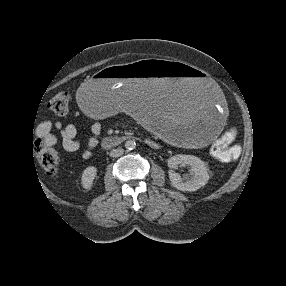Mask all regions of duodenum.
<instances>
[{
  "instance_id": "410a0bca",
  "label": "duodenum",
  "mask_w": 286,
  "mask_h": 286,
  "mask_svg": "<svg viewBox=\"0 0 286 286\" xmlns=\"http://www.w3.org/2000/svg\"><path fill=\"white\" fill-rule=\"evenodd\" d=\"M127 139L128 137L126 136L107 137L103 139L102 146L105 148L117 147L123 144Z\"/></svg>"
}]
</instances>
